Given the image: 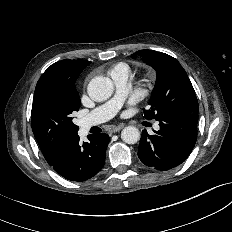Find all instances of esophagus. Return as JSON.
Listing matches in <instances>:
<instances>
[{"label":"esophagus","instance_id":"34e87169","mask_svg":"<svg viewBox=\"0 0 232 232\" xmlns=\"http://www.w3.org/2000/svg\"><path fill=\"white\" fill-rule=\"evenodd\" d=\"M122 128H123V125L113 126L110 128V132L116 133V132L120 131Z\"/></svg>","mask_w":232,"mask_h":232}]
</instances>
